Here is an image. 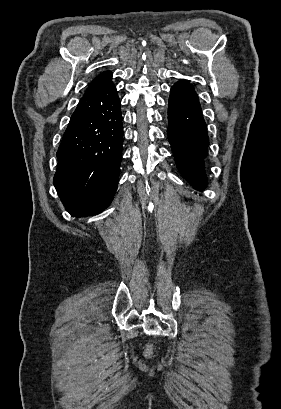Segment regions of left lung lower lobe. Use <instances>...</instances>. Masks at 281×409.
<instances>
[{
  "mask_svg": "<svg viewBox=\"0 0 281 409\" xmlns=\"http://www.w3.org/2000/svg\"><path fill=\"white\" fill-rule=\"evenodd\" d=\"M168 139L181 174L204 187L209 138L198 95L186 80L175 83L168 102Z\"/></svg>",
  "mask_w": 281,
  "mask_h": 409,
  "instance_id": "1",
  "label": "left lung lower lobe"
}]
</instances>
